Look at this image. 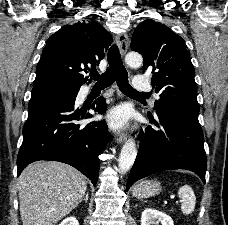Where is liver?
I'll return each instance as SVG.
<instances>
[{
	"label": "liver",
	"mask_w": 228,
	"mask_h": 225,
	"mask_svg": "<svg viewBox=\"0 0 228 225\" xmlns=\"http://www.w3.org/2000/svg\"><path fill=\"white\" fill-rule=\"evenodd\" d=\"M18 183L23 225H56L79 205L87 189L82 173L55 161L28 165Z\"/></svg>",
	"instance_id": "6515ba94"
}]
</instances>
